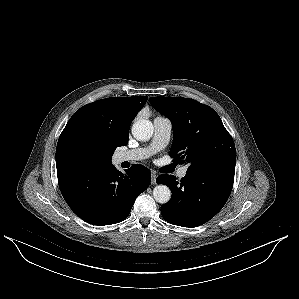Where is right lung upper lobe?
<instances>
[{"label":"right lung upper lobe","mask_w":299,"mask_h":299,"mask_svg":"<svg viewBox=\"0 0 299 299\" xmlns=\"http://www.w3.org/2000/svg\"><path fill=\"white\" fill-rule=\"evenodd\" d=\"M148 96L112 97L87 104L76 111L62 131L56 148V163H82L66 151L72 140L96 136L108 147L127 144L132 120L147 102ZM104 155L99 156L98 163Z\"/></svg>","instance_id":"right-lung-upper-lobe-1"}]
</instances>
